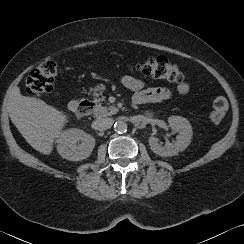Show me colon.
I'll return each mask as SVG.
<instances>
[{
    "label": "colon",
    "mask_w": 244,
    "mask_h": 244,
    "mask_svg": "<svg viewBox=\"0 0 244 244\" xmlns=\"http://www.w3.org/2000/svg\"><path fill=\"white\" fill-rule=\"evenodd\" d=\"M134 69L144 75L156 80L171 83H182L183 73L174 62L165 57H151L145 61L135 64ZM57 75V64L48 60L33 68L26 79V92L33 96L50 93L53 90L54 81ZM228 111L226 98L217 96L212 103L209 113L211 123L218 125Z\"/></svg>",
    "instance_id": "1"
}]
</instances>
